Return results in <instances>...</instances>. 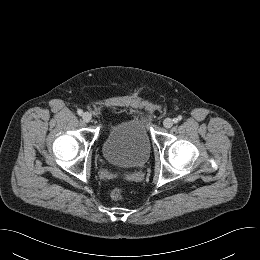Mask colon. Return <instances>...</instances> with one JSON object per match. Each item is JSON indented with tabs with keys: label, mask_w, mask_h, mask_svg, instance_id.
Segmentation results:
<instances>
[{
	"label": "colon",
	"mask_w": 260,
	"mask_h": 260,
	"mask_svg": "<svg viewBox=\"0 0 260 260\" xmlns=\"http://www.w3.org/2000/svg\"><path fill=\"white\" fill-rule=\"evenodd\" d=\"M124 194H125V191L123 188H121V187L115 188L111 192V199L114 201H120L124 197Z\"/></svg>",
	"instance_id": "5ec220e1"
}]
</instances>
